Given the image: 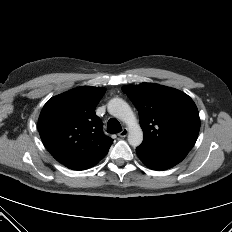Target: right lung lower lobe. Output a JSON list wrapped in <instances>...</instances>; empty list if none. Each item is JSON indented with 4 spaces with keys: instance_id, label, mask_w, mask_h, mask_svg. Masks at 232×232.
Segmentation results:
<instances>
[{
    "instance_id": "obj_1",
    "label": "right lung lower lobe",
    "mask_w": 232,
    "mask_h": 232,
    "mask_svg": "<svg viewBox=\"0 0 232 232\" xmlns=\"http://www.w3.org/2000/svg\"><path fill=\"white\" fill-rule=\"evenodd\" d=\"M95 165V164H94ZM94 165H89V166H83V167H78V168H74L73 170H84V169H88Z\"/></svg>"
}]
</instances>
